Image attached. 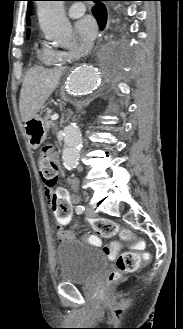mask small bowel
I'll return each instance as SVG.
<instances>
[{"label":"small bowel","mask_w":183,"mask_h":329,"mask_svg":"<svg viewBox=\"0 0 183 329\" xmlns=\"http://www.w3.org/2000/svg\"><path fill=\"white\" fill-rule=\"evenodd\" d=\"M71 186L77 188V180L69 178ZM45 196L48 200L52 212V219H56V239L61 241L64 239L65 232L60 227H73L72 204L78 202L79 198L76 193L67 192L66 187H53L52 190L45 189ZM96 244H100L98 238H94Z\"/></svg>","instance_id":"1"}]
</instances>
